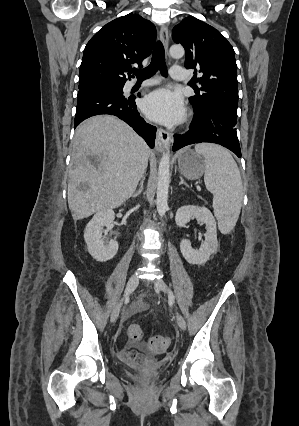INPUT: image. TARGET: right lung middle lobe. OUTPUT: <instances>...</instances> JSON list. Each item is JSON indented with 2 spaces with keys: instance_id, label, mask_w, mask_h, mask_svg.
<instances>
[{
  "instance_id": "1",
  "label": "right lung middle lobe",
  "mask_w": 299,
  "mask_h": 426,
  "mask_svg": "<svg viewBox=\"0 0 299 426\" xmlns=\"http://www.w3.org/2000/svg\"><path fill=\"white\" fill-rule=\"evenodd\" d=\"M91 87L110 89V90H114V91L123 93L124 84H121V85H99V86H91ZM79 89H81V88H79Z\"/></svg>"
}]
</instances>
